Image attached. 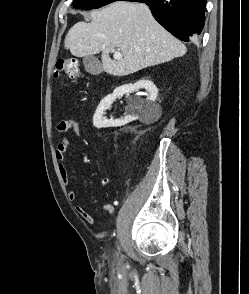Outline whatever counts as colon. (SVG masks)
Listing matches in <instances>:
<instances>
[{"instance_id":"1","label":"colon","mask_w":249,"mask_h":294,"mask_svg":"<svg viewBox=\"0 0 249 294\" xmlns=\"http://www.w3.org/2000/svg\"><path fill=\"white\" fill-rule=\"evenodd\" d=\"M81 76L79 64L75 59L59 58L55 65L54 78L56 80L69 79L77 81Z\"/></svg>"}]
</instances>
